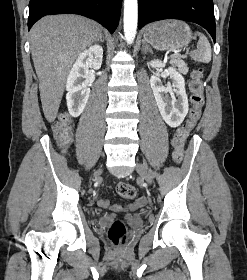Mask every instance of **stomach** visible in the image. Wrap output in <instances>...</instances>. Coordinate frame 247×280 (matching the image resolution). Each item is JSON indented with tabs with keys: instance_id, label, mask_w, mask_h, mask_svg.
I'll return each mask as SVG.
<instances>
[{
	"instance_id": "1",
	"label": "stomach",
	"mask_w": 247,
	"mask_h": 280,
	"mask_svg": "<svg viewBox=\"0 0 247 280\" xmlns=\"http://www.w3.org/2000/svg\"><path fill=\"white\" fill-rule=\"evenodd\" d=\"M192 38L190 27L184 21L174 19L152 23L144 32V40L162 51L186 47Z\"/></svg>"
}]
</instances>
